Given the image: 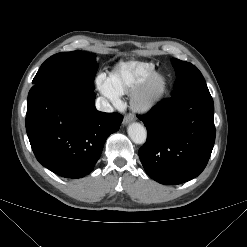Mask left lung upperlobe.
<instances>
[{
    "instance_id": "left-lung-upper-lobe-1",
    "label": "left lung upper lobe",
    "mask_w": 247,
    "mask_h": 247,
    "mask_svg": "<svg viewBox=\"0 0 247 247\" xmlns=\"http://www.w3.org/2000/svg\"><path fill=\"white\" fill-rule=\"evenodd\" d=\"M171 62L177 77L171 97L209 91L201 72L194 65L175 58Z\"/></svg>"
}]
</instances>
